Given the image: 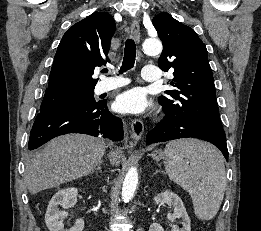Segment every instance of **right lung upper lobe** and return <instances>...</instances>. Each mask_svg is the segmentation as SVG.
<instances>
[{
  "mask_svg": "<svg viewBox=\"0 0 261 231\" xmlns=\"http://www.w3.org/2000/svg\"><path fill=\"white\" fill-rule=\"evenodd\" d=\"M115 28L114 19L106 12L92 14L69 28L55 54L46 90L94 88V68L109 62Z\"/></svg>",
  "mask_w": 261,
  "mask_h": 231,
  "instance_id": "1",
  "label": "right lung upper lobe"
}]
</instances>
